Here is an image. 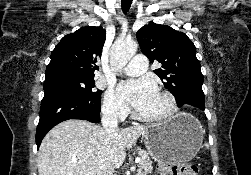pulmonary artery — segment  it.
Masks as SVG:
<instances>
[{"instance_id": "pulmonary-artery-1", "label": "pulmonary artery", "mask_w": 251, "mask_h": 175, "mask_svg": "<svg viewBox=\"0 0 251 175\" xmlns=\"http://www.w3.org/2000/svg\"><path fill=\"white\" fill-rule=\"evenodd\" d=\"M134 62H130L123 68V72L133 76H145V70L148 66L147 58L141 53L133 56Z\"/></svg>"}]
</instances>
